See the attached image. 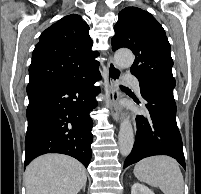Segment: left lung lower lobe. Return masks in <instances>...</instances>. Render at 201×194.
Wrapping results in <instances>:
<instances>
[{
	"instance_id": "0a47b994",
	"label": "left lung lower lobe",
	"mask_w": 201,
	"mask_h": 194,
	"mask_svg": "<svg viewBox=\"0 0 201 194\" xmlns=\"http://www.w3.org/2000/svg\"><path fill=\"white\" fill-rule=\"evenodd\" d=\"M147 116H137V133L133 149L126 158L124 168L139 160L168 155L184 169L185 158L181 134L176 123V103L173 91L161 87L141 89Z\"/></svg>"
}]
</instances>
